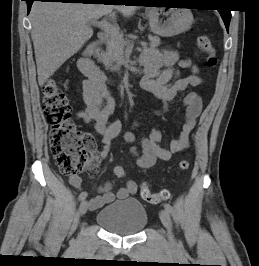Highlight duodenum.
<instances>
[{"label":"duodenum","mask_w":259,"mask_h":266,"mask_svg":"<svg viewBox=\"0 0 259 266\" xmlns=\"http://www.w3.org/2000/svg\"><path fill=\"white\" fill-rule=\"evenodd\" d=\"M108 39L106 32H100L95 42L91 43L83 53L81 68L85 75L92 80L102 81L103 75L95 64L94 58L99 53L101 45Z\"/></svg>","instance_id":"duodenum-1"}]
</instances>
